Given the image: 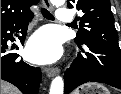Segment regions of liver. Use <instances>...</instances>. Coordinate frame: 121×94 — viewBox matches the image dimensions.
<instances>
[{"label": "liver", "instance_id": "1", "mask_svg": "<svg viewBox=\"0 0 121 94\" xmlns=\"http://www.w3.org/2000/svg\"><path fill=\"white\" fill-rule=\"evenodd\" d=\"M1 94H21L13 85L1 80Z\"/></svg>", "mask_w": 121, "mask_h": 94}]
</instances>
